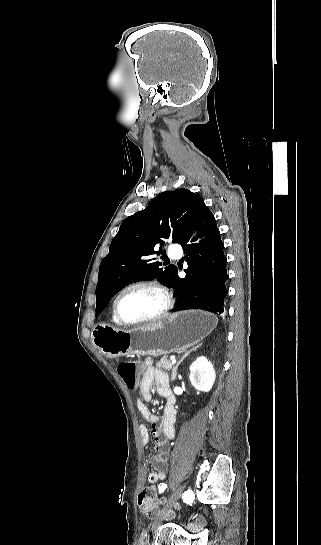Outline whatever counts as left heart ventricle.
Listing matches in <instances>:
<instances>
[{"label": "left heart ventricle", "mask_w": 321, "mask_h": 545, "mask_svg": "<svg viewBox=\"0 0 321 545\" xmlns=\"http://www.w3.org/2000/svg\"><path fill=\"white\" fill-rule=\"evenodd\" d=\"M164 304V298L158 292L137 288L122 295L119 311L126 321L137 322L157 314Z\"/></svg>", "instance_id": "b2bd125f"}]
</instances>
